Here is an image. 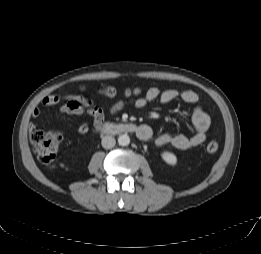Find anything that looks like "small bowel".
<instances>
[{
	"mask_svg": "<svg viewBox=\"0 0 261 254\" xmlns=\"http://www.w3.org/2000/svg\"><path fill=\"white\" fill-rule=\"evenodd\" d=\"M160 100L164 104L171 103L175 100H180L192 107L191 118L196 130L195 134L186 136L182 134L163 133L155 137L154 142L157 146L171 145L179 150L194 149L202 145L207 139V133L210 128V117L199 104L198 95L192 90H180L176 88H169L160 90L157 87H150L143 96L133 99L128 102H115L109 109L112 115L122 110L126 105H132L135 108H143L152 101ZM62 103L58 112L60 114L69 115H88L93 119V129H99L105 122V113L95 103L83 96L65 94L63 96H47L43 99L42 104L45 106ZM41 115V110L35 108L32 111V117L38 118ZM30 130L35 129V124L31 123ZM90 127L83 122L78 128L79 134H86ZM141 140H151L153 138V131L148 125H141L137 132Z\"/></svg>",
	"mask_w": 261,
	"mask_h": 254,
	"instance_id": "c3829d8e",
	"label": "small bowel"
}]
</instances>
